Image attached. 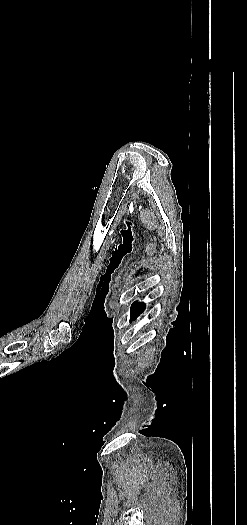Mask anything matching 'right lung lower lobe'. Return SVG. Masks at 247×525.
<instances>
[{
	"label": "right lung lower lobe",
	"instance_id": "1",
	"mask_svg": "<svg viewBox=\"0 0 247 525\" xmlns=\"http://www.w3.org/2000/svg\"><path fill=\"white\" fill-rule=\"evenodd\" d=\"M145 307L142 302H134L130 310V321L135 320L145 310Z\"/></svg>",
	"mask_w": 247,
	"mask_h": 525
}]
</instances>
